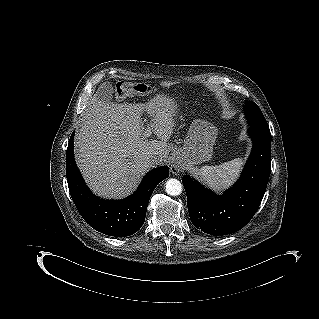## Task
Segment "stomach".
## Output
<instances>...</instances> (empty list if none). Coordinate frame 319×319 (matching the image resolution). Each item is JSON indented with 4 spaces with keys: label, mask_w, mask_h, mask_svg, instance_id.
Listing matches in <instances>:
<instances>
[{
    "label": "stomach",
    "mask_w": 319,
    "mask_h": 319,
    "mask_svg": "<svg viewBox=\"0 0 319 319\" xmlns=\"http://www.w3.org/2000/svg\"><path fill=\"white\" fill-rule=\"evenodd\" d=\"M216 138L217 129L214 125L205 120H194L178 154V164L190 168L210 160Z\"/></svg>",
    "instance_id": "0dacf381"
}]
</instances>
